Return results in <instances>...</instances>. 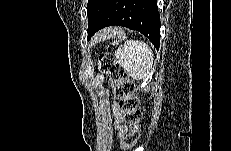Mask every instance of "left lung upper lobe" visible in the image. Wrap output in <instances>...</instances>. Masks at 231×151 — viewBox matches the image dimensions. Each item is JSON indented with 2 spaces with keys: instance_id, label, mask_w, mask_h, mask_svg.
<instances>
[{
  "instance_id": "left-lung-upper-lobe-1",
  "label": "left lung upper lobe",
  "mask_w": 231,
  "mask_h": 151,
  "mask_svg": "<svg viewBox=\"0 0 231 151\" xmlns=\"http://www.w3.org/2000/svg\"><path fill=\"white\" fill-rule=\"evenodd\" d=\"M110 1L111 0H88V32L97 26Z\"/></svg>"
}]
</instances>
